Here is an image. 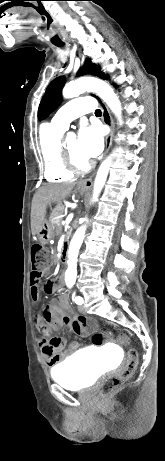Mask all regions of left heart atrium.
I'll list each match as a JSON object with an SVG mask.
<instances>
[{
	"instance_id": "1",
	"label": "left heart atrium",
	"mask_w": 165,
	"mask_h": 461,
	"mask_svg": "<svg viewBox=\"0 0 165 461\" xmlns=\"http://www.w3.org/2000/svg\"><path fill=\"white\" fill-rule=\"evenodd\" d=\"M78 150L82 157L89 160L98 156L103 149V135L98 126L84 125L78 134Z\"/></svg>"
}]
</instances>
